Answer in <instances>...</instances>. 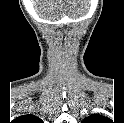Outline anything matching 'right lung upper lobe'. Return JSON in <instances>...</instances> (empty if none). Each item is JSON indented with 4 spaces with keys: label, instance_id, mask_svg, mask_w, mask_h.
<instances>
[{
    "label": "right lung upper lobe",
    "instance_id": "right-lung-upper-lobe-1",
    "mask_svg": "<svg viewBox=\"0 0 124 123\" xmlns=\"http://www.w3.org/2000/svg\"><path fill=\"white\" fill-rule=\"evenodd\" d=\"M20 119L32 123H41V120L37 116L32 114L23 115L20 117Z\"/></svg>",
    "mask_w": 124,
    "mask_h": 123
}]
</instances>
